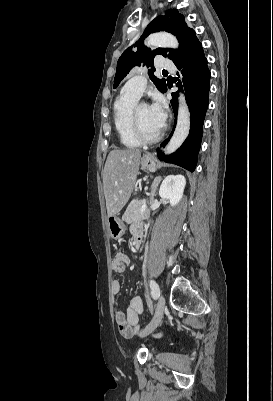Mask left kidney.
I'll return each instance as SVG.
<instances>
[{
	"instance_id": "left-kidney-1",
	"label": "left kidney",
	"mask_w": 273,
	"mask_h": 401,
	"mask_svg": "<svg viewBox=\"0 0 273 401\" xmlns=\"http://www.w3.org/2000/svg\"><path fill=\"white\" fill-rule=\"evenodd\" d=\"M185 184L183 174H168L159 188V194L161 198H169L171 207H176L183 196Z\"/></svg>"
}]
</instances>
